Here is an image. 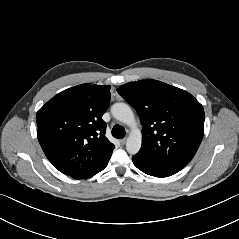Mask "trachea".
I'll use <instances>...</instances> for the list:
<instances>
[{
	"label": "trachea",
	"mask_w": 239,
	"mask_h": 239,
	"mask_svg": "<svg viewBox=\"0 0 239 239\" xmlns=\"http://www.w3.org/2000/svg\"><path fill=\"white\" fill-rule=\"evenodd\" d=\"M113 137L123 139L125 137V129L120 125H115L112 129Z\"/></svg>",
	"instance_id": "trachea-1"
}]
</instances>
